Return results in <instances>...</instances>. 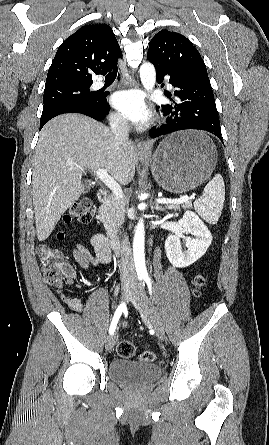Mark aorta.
<instances>
[{
    "mask_svg": "<svg viewBox=\"0 0 269 445\" xmlns=\"http://www.w3.org/2000/svg\"><path fill=\"white\" fill-rule=\"evenodd\" d=\"M140 78L145 90L148 92L152 91L156 82V71L153 64L146 62L141 65ZM145 206H146L145 204H142L143 208H145ZM144 240H145L144 223L141 220L136 226V231L133 240V257H134L136 271L139 276L147 275L146 264H145V253H144Z\"/></svg>",
    "mask_w": 269,
    "mask_h": 445,
    "instance_id": "obj_1",
    "label": "aorta"
}]
</instances>
